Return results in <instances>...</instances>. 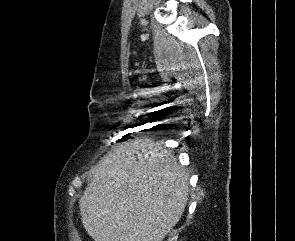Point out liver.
I'll use <instances>...</instances> for the list:
<instances>
[{"label": "liver", "instance_id": "1", "mask_svg": "<svg viewBox=\"0 0 295 241\" xmlns=\"http://www.w3.org/2000/svg\"><path fill=\"white\" fill-rule=\"evenodd\" d=\"M188 196L189 175L172 152L137 139L100 161L79 200L80 215L94 241H163Z\"/></svg>", "mask_w": 295, "mask_h": 241}]
</instances>
